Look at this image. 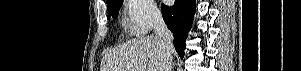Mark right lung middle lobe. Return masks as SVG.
<instances>
[{"mask_svg": "<svg viewBox=\"0 0 301 71\" xmlns=\"http://www.w3.org/2000/svg\"><path fill=\"white\" fill-rule=\"evenodd\" d=\"M123 0H113L107 3L108 15L116 18Z\"/></svg>", "mask_w": 301, "mask_h": 71, "instance_id": "dd1d6c3e", "label": "right lung middle lobe"}]
</instances>
